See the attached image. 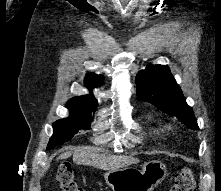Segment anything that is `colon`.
Instances as JSON below:
<instances>
[{"label": "colon", "instance_id": "5ec220e1", "mask_svg": "<svg viewBox=\"0 0 221 191\" xmlns=\"http://www.w3.org/2000/svg\"><path fill=\"white\" fill-rule=\"evenodd\" d=\"M56 181L61 191H84L74 177L70 163L59 165L56 173ZM195 187L194 176L191 170L183 169L175 176L174 183L169 191H193Z\"/></svg>", "mask_w": 221, "mask_h": 191}]
</instances>
